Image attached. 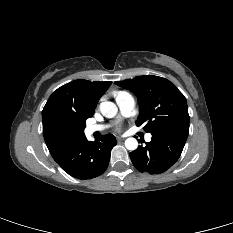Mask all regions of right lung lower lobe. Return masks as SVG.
Listing matches in <instances>:
<instances>
[{
	"label": "right lung lower lobe",
	"mask_w": 233,
	"mask_h": 233,
	"mask_svg": "<svg viewBox=\"0 0 233 233\" xmlns=\"http://www.w3.org/2000/svg\"><path fill=\"white\" fill-rule=\"evenodd\" d=\"M115 145L116 139L110 134L94 142L83 137L53 158L65 172L75 178H95L107 169L110 152Z\"/></svg>",
	"instance_id": "obj_1"
}]
</instances>
